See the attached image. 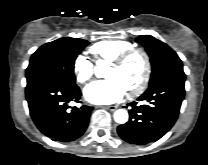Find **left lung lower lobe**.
<instances>
[{
    "mask_svg": "<svg viewBox=\"0 0 208 165\" xmlns=\"http://www.w3.org/2000/svg\"><path fill=\"white\" fill-rule=\"evenodd\" d=\"M185 75H170L152 85L138 98L146 104L129 103V121L117 128L119 136L131 144L157 141L176 122L185 95Z\"/></svg>",
    "mask_w": 208,
    "mask_h": 165,
    "instance_id": "obj_1",
    "label": "left lung lower lobe"
}]
</instances>
